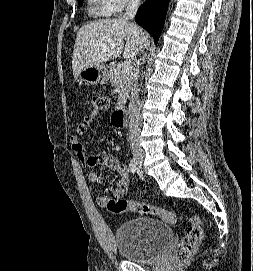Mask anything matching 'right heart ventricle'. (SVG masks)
<instances>
[{"mask_svg": "<svg viewBox=\"0 0 253 271\" xmlns=\"http://www.w3.org/2000/svg\"><path fill=\"white\" fill-rule=\"evenodd\" d=\"M90 12L99 17H108L114 12L104 0H88Z\"/></svg>", "mask_w": 253, "mask_h": 271, "instance_id": "obj_1", "label": "right heart ventricle"}]
</instances>
